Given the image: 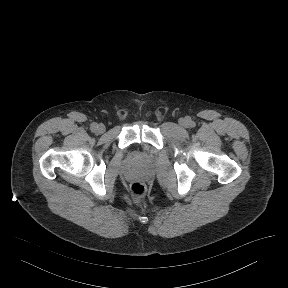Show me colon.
I'll return each mask as SVG.
<instances>
[{"label":"colon","instance_id":"1","mask_svg":"<svg viewBox=\"0 0 288 288\" xmlns=\"http://www.w3.org/2000/svg\"><path fill=\"white\" fill-rule=\"evenodd\" d=\"M130 196L134 200H141L146 195V189L144 186H142L139 182H135L130 186L129 189Z\"/></svg>","mask_w":288,"mask_h":288}]
</instances>
